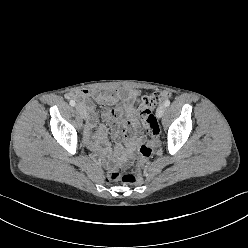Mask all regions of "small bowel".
<instances>
[{
	"mask_svg": "<svg viewBox=\"0 0 248 248\" xmlns=\"http://www.w3.org/2000/svg\"><path fill=\"white\" fill-rule=\"evenodd\" d=\"M69 96L79 100L89 113L84 140L90 149L108 157L115 156L126 160L144 141V135L135 118L138 90L131 88H119L107 92L82 90L70 93ZM92 100L106 106L102 111L104 122L98 126ZM110 132L115 141L114 149L111 148L109 141Z\"/></svg>",
	"mask_w": 248,
	"mask_h": 248,
	"instance_id": "c3829d8e",
	"label": "small bowel"
}]
</instances>
